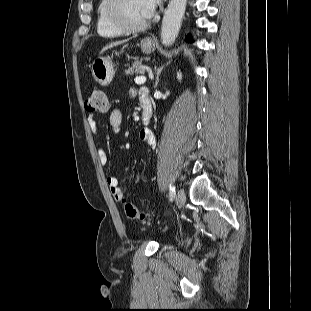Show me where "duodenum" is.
Instances as JSON below:
<instances>
[{
  "mask_svg": "<svg viewBox=\"0 0 311 311\" xmlns=\"http://www.w3.org/2000/svg\"><path fill=\"white\" fill-rule=\"evenodd\" d=\"M142 108H143V121L145 123H149L152 116V105L150 99L142 100Z\"/></svg>",
  "mask_w": 311,
  "mask_h": 311,
  "instance_id": "duodenum-1",
  "label": "duodenum"
}]
</instances>
